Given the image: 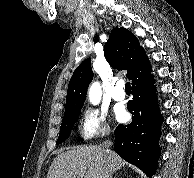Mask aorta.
Here are the masks:
<instances>
[{"mask_svg":"<svg viewBox=\"0 0 194 178\" xmlns=\"http://www.w3.org/2000/svg\"><path fill=\"white\" fill-rule=\"evenodd\" d=\"M101 87L98 82L92 83V85L89 88V99L90 102L94 105H97L101 100Z\"/></svg>","mask_w":194,"mask_h":178,"instance_id":"aorta-1","label":"aorta"}]
</instances>
